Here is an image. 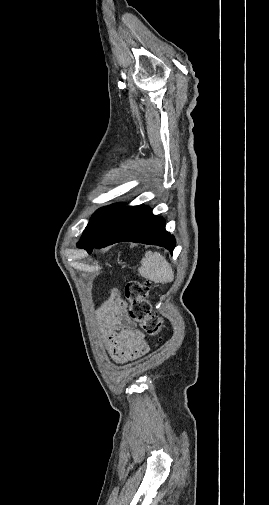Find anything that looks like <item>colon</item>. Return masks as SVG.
<instances>
[{
	"mask_svg": "<svg viewBox=\"0 0 269 505\" xmlns=\"http://www.w3.org/2000/svg\"><path fill=\"white\" fill-rule=\"evenodd\" d=\"M150 287L148 281H130L126 285L125 296L129 301L130 318L139 324L147 336L159 338L162 334L163 323L148 300Z\"/></svg>",
	"mask_w": 269,
	"mask_h": 505,
	"instance_id": "1",
	"label": "colon"
}]
</instances>
